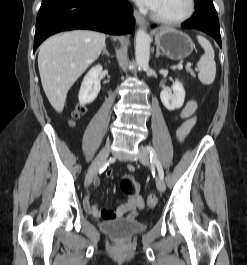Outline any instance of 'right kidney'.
I'll list each match as a JSON object with an SVG mask.
<instances>
[{
    "label": "right kidney",
    "instance_id": "ca27d5eb",
    "mask_svg": "<svg viewBox=\"0 0 247 265\" xmlns=\"http://www.w3.org/2000/svg\"><path fill=\"white\" fill-rule=\"evenodd\" d=\"M102 69L101 65H96L84 77L78 95L81 104H89L96 99L101 89L99 75Z\"/></svg>",
    "mask_w": 247,
    "mask_h": 265
}]
</instances>
